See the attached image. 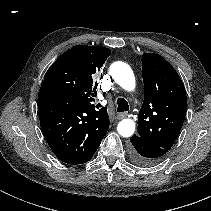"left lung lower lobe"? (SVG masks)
Segmentation results:
<instances>
[{
	"label": "left lung lower lobe",
	"instance_id": "obj_1",
	"mask_svg": "<svg viewBox=\"0 0 211 211\" xmlns=\"http://www.w3.org/2000/svg\"><path fill=\"white\" fill-rule=\"evenodd\" d=\"M130 141V157L138 166H153L167 153L165 149L149 143L138 135H133Z\"/></svg>",
	"mask_w": 211,
	"mask_h": 211
}]
</instances>
